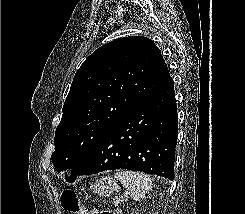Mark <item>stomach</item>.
I'll return each instance as SVG.
<instances>
[{
  "label": "stomach",
  "mask_w": 245,
  "mask_h": 214,
  "mask_svg": "<svg viewBox=\"0 0 245 214\" xmlns=\"http://www.w3.org/2000/svg\"><path fill=\"white\" fill-rule=\"evenodd\" d=\"M118 188V185L110 176L101 177L90 186V189L99 196H110Z\"/></svg>",
  "instance_id": "stomach-1"
}]
</instances>
